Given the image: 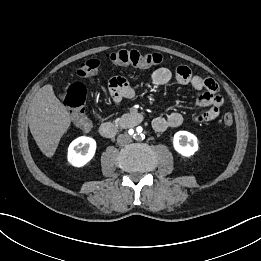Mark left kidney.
Masks as SVG:
<instances>
[{"label": "left kidney", "mask_w": 261, "mask_h": 261, "mask_svg": "<svg viewBox=\"0 0 261 261\" xmlns=\"http://www.w3.org/2000/svg\"><path fill=\"white\" fill-rule=\"evenodd\" d=\"M174 149L185 157H190L198 150L197 137L187 131H178L173 138Z\"/></svg>", "instance_id": "obj_1"}]
</instances>
